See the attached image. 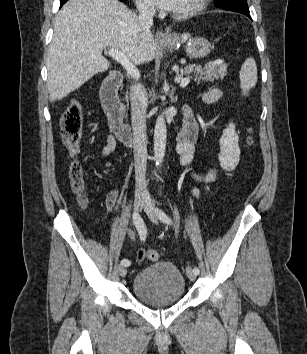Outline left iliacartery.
<instances>
[{"label":"left iliac artery","instance_id":"obj_1","mask_svg":"<svg viewBox=\"0 0 307 354\" xmlns=\"http://www.w3.org/2000/svg\"><path fill=\"white\" fill-rule=\"evenodd\" d=\"M156 211V214H157V216H158V218L162 221V222H164V223H167V224H172V220H171V218L164 212V211H162L161 209H156L155 210ZM193 272L196 274V275H198L199 274V268L198 267H194L193 268Z\"/></svg>","mask_w":307,"mask_h":354}]
</instances>
